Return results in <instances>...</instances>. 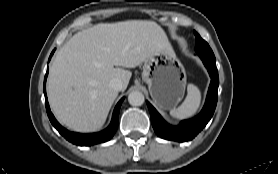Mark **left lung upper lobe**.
I'll use <instances>...</instances> for the list:
<instances>
[{
  "instance_id": "left-lung-upper-lobe-1",
  "label": "left lung upper lobe",
  "mask_w": 278,
  "mask_h": 174,
  "mask_svg": "<svg viewBox=\"0 0 278 174\" xmlns=\"http://www.w3.org/2000/svg\"><path fill=\"white\" fill-rule=\"evenodd\" d=\"M194 34L196 36L195 51L199 55H204V56H208V57H211V58H215V56L213 54V51L211 50L208 43L205 40H203L197 32H194Z\"/></svg>"
}]
</instances>
